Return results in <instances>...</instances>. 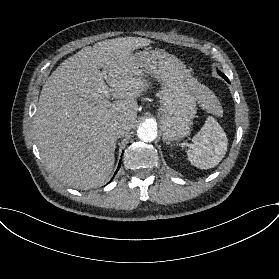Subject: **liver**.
<instances>
[{
	"mask_svg": "<svg viewBox=\"0 0 279 279\" xmlns=\"http://www.w3.org/2000/svg\"><path fill=\"white\" fill-rule=\"evenodd\" d=\"M153 43L121 37L86 46L43 85L35 135L42 158L62 183L89 189L109 180L117 144L112 129L126 124L129 133L137 118L136 99L151 85L145 62L134 51ZM186 82L199 100L202 86L192 75Z\"/></svg>",
	"mask_w": 279,
	"mask_h": 279,
	"instance_id": "liver-1",
	"label": "liver"
}]
</instances>
